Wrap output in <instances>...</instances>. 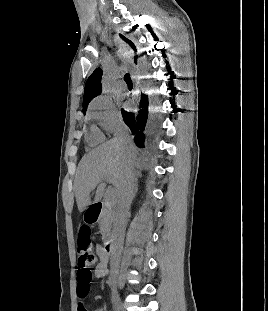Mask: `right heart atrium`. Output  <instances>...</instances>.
<instances>
[{
	"mask_svg": "<svg viewBox=\"0 0 268 311\" xmlns=\"http://www.w3.org/2000/svg\"><path fill=\"white\" fill-rule=\"evenodd\" d=\"M89 116L109 134L117 132L121 127L120 114L112 100L108 97L97 98L89 108Z\"/></svg>",
	"mask_w": 268,
	"mask_h": 311,
	"instance_id": "1",
	"label": "right heart atrium"
}]
</instances>
